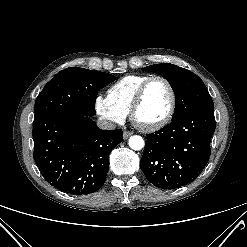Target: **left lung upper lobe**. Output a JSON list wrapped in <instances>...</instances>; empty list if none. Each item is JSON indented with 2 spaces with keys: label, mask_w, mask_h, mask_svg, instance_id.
I'll use <instances>...</instances> for the list:
<instances>
[{
  "label": "left lung upper lobe",
  "mask_w": 247,
  "mask_h": 247,
  "mask_svg": "<svg viewBox=\"0 0 247 247\" xmlns=\"http://www.w3.org/2000/svg\"><path fill=\"white\" fill-rule=\"evenodd\" d=\"M144 70L160 74L170 82L176 95L173 119L192 111H214L212 98L196 74L170 63L154 64L145 67Z\"/></svg>",
  "instance_id": "left-lung-upper-lobe-1"
}]
</instances>
